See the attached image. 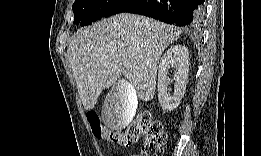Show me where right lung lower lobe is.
Masks as SVG:
<instances>
[{
	"mask_svg": "<svg viewBox=\"0 0 261 156\" xmlns=\"http://www.w3.org/2000/svg\"><path fill=\"white\" fill-rule=\"evenodd\" d=\"M129 12L177 26L196 27L202 19V0H122L107 16ZM105 16V17H107Z\"/></svg>",
	"mask_w": 261,
	"mask_h": 156,
	"instance_id": "1",
	"label": "right lung lower lobe"
}]
</instances>
